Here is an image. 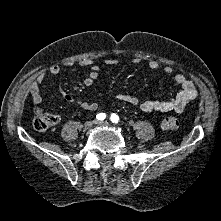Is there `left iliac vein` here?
Segmentation results:
<instances>
[{
	"label": "left iliac vein",
	"instance_id": "1",
	"mask_svg": "<svg viewBox=\"0 0 221 221\" xmlns=\"http://www.w3.org/2000/svg\"><path fill=\"white\" fill-rule=\"evenodd\" d=\"M96 124L99 126H110V124L106 121H97Z\"/></svg>",
	"mask_w": 221,
	"mask_h": 221
}]
</instances>
